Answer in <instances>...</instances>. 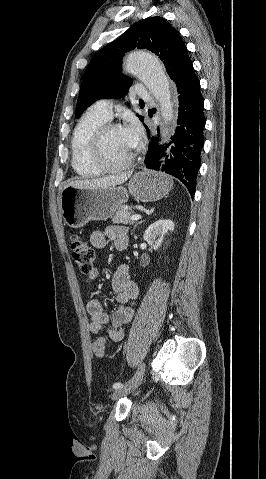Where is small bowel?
<instances>
[{
  "label": "small bowel",
  "mask_w": 266,
  "mask_h": 479,
  "mask_svg": "<svg viewBox=\"0 0 266 479\" xmlns=\"http://www.w3.org/2000/svg\"><path fill=\"white\" fill-rule=\"evenodd\" d=\"M108 241H112L116 250L127 248L129 239L128 231L124 226H109L104 230H96L90 236L91 244L96 248L104 247ZM98 275L93 270L87 278L91 283ZM112 289L116 294L118 307L111 313L106 312L104 304L99 300H90L87 310L90 316L89 329L93 334H106L114 342L123 339L125 329L131 324L136 301L139 295L137 283L130 277V267L120 265L112 278Z\"/></svg>",
  "instance_id": "1"
}]
</instances>
